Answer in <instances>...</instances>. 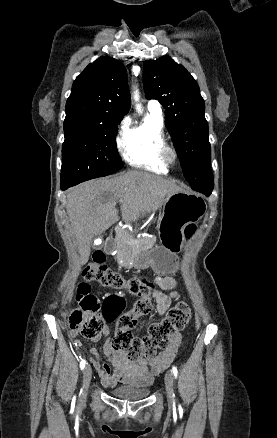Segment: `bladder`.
Masks as SVG:
<instances>
[{"label": "bladder", "instance_id": "obj_1", "mask_svg": "<svg viewBox=\"0 0 277 438\" xmlns=\"http://www.w3.org/2000/svg\"><path fill=\"white\" fill-rule=\"evenodd\" d=\"M110 394L118 401L138 402L151 394L150 388L117 387L110 390Z\"/></svg>", "mask_w": 277, "mask_h": 438}]
</instances>
